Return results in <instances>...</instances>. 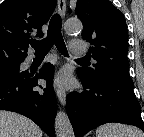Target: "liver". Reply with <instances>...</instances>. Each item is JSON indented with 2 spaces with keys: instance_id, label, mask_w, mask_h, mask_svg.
<instances>
[{
  "instance_id": "obj_1",
  "label": "liver",
  "mask_w": 144,
  "mask_h": 137,
  "mask_svg": "<svg viewBox=\"0 0 144 137\" xmlns=\"http://www.w3.org/2000/svg\"><path fill=\"white\" fill-rule=\"evenodd\" d=\"M0 137H42V130L23 115L0 111Z\"/></svg>"
}]
</instances>
